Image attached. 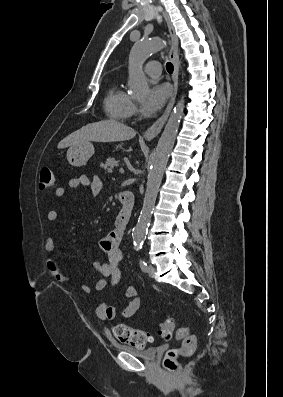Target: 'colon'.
Masks as SVG:
<instances>
[{
  "instance_id": "colon-1",
  "label": "colon",
  "mask_w": 283,
  "mask_h": 397,
  "mask_svg": "<svg viewBox=\"0 0 283 397\" xmlns=\"http://www.w3.org/2000/svg\"><path fill=\"white\" fill-rule=\"evenodd\" d=\"M55 184L54 173L51 168H43L39 175V187L42 190L50 189ZM175 330V321L168 317L160 323L158 335L163 339H170ZM113 336L121 343L137 348H144L152 340L151 335L141 329H134L125 324H116L112 327ZM177 339L182 341L179 349H171L164 359V367L168 372L177 369V357L189 356L196 349V340L189 326H181L176 332Z\"/></svg>"
}]
</instances>
